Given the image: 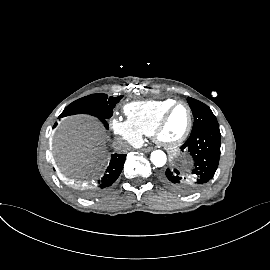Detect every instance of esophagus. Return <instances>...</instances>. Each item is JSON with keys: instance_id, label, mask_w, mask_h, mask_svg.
<instances>
[{"instance_id": "esophagus-1", "label": "esophagus", "mask_w": 270, "mask_h": 270, "mask_svg": "<svg viewBox=\"0 0 270 270\" xmlns=\"http://www.w3.org/2000/svg\"><path fill=\"white\" fill-rule=\"evenodd\" d=\"M141 151H143L145 153H148V152L152 151V148L151 147H145V148H142Z\"/></svg>"}]
</instances>
